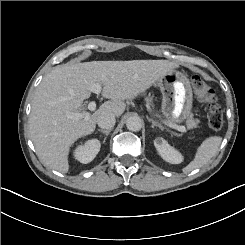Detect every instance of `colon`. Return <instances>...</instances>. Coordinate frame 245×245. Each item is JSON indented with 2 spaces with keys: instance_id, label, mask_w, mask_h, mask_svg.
I'll use <instances>...</instances> for the list:
<instances>
[{
  "instance_id": "obj_1",
  "label": "colon",
  "mask_w": 245,
  "mask_h": 245,
  "mask_svg": "<svg viewBox=\"0 0 245 245\" xmlns=\"http://www.w3.org/2000/svg\"><path fill=\"white\" fill-rule=\"evenodd\" d=\"M192 85L199 100L206 106V116L210 128L218 130L223 126V112L216 101L214 90L199 74L192 75Z\"/></svg>"
}]
</instances>
